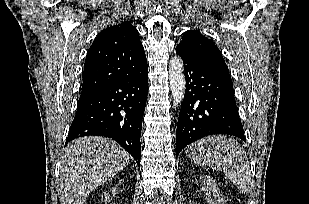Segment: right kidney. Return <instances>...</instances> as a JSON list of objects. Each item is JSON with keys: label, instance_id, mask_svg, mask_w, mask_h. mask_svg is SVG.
<instances>
[{"label": "right kidney", "instance_id": "right-kidney-1", "mask_svg": "<svg viewBox=\"0 0 309 204\" xmlns=\"http://www.w3.org/2000/svg\"><path fill=\"white\" fill-rule=\"evenodd\" d=\"M112 194H113V195L116 194V187H114V188L112 189ZM105 202H106L105 204H107V200H106Z\"/></svg>", "mask_w": 309, "mask_h": 204}]
</instances>
